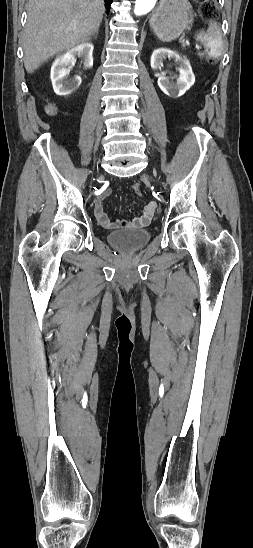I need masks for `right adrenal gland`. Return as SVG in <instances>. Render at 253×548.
<instances>
[{
    "mask_svg": "<svg viewBox=\"0 0 253 548\" xmlns=\"http://www.w3.org/2000/svg\"><path fill=\"white\" fill-rule=\"evenodd\" d=\"M97 36H98V31H96L94 34H92V35H91V38H92V37L97 38Z\"/></svg>",
    "mask_w": 253,
    "mask_h": 548,
    "instance_id": "obj_1",
    "label": "right adrenal gland"
}]
</instances>
